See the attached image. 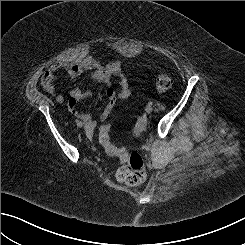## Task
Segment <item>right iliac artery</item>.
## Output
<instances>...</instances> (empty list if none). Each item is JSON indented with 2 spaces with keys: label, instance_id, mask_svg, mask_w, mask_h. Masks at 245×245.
Instances as JSON below:
<instances>
[{
  "label": "right iliac artery",
  "instance_id": "right-iliac-artery-1",
  "mask_svg": "<svg viewBox=\"0 0 245 245\" xmlns=\"http://www.w3.org/2000/svg\"><path fill=\"white\" fill-rule=\"evenodd\" d=\"M77 126H79L81 124V122L79 120H76Z\"/></svg>",
  "mask_w": 245,
  "mask_h": 245
}]
</instances>
